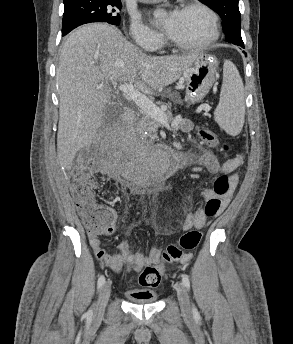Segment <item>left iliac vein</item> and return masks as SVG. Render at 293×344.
<instances>
[{
  "label": "left iliac vein",
  "instance_id": "obj_1",
  "mask_svg": "<svg viewBox=\"0 0 293 344\" xmlns=\"http://www.w3.org/2000/svg\"><path fill=\"white\" fill-rule=\"evenodd\" d=\"M176 291H177V297H178V301H179L182 313L186 317L191 316L190 301H189V296H188L185 286L180 283L177 284Z\"/></svg>",
  "mask_w": 293,
  "mask_h": 344
}]
</instances>
